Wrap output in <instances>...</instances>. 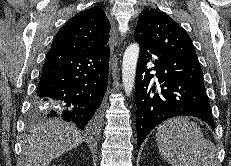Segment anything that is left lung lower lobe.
Segmentation results:
<instances>
[{
  "label": "left lung lower lobe",
  "instance_id": "0a47b994",
  "mask_svg": "<svg viewBox=\"0 0 231 166\" xmlns=\"http://www.w3.org/2000/svg\"><path fill=\"white\" fill-rule=\"evenodd\" d=\"M134 39L140 45L135 84L138 149L152 129L174 116H194L214 129L198 59L160 51L135 35Z\"/></svg>",
  "mask_w": 231,
  "mask_h": 166
}]
</instances>
